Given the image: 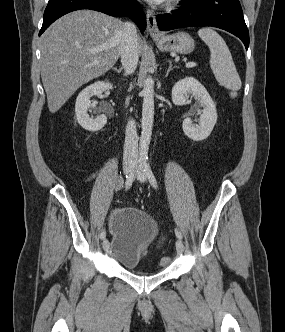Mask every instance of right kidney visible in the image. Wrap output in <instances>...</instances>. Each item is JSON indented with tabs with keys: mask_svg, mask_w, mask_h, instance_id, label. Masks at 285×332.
<instances>
[{
	"mask_svg": "<svg viewBox=\"0 0 285 332\" xmlns=\"http://www.w3.org/2000/svg\"><path fill=\"white\" fill-rule=\"evenodd\" d=\"M109 89H113L111 83L98 81L89 85L79 93L75 104V114L79 125L85 130L95 132L102 129L107 123V117L104 114L92 118L88 114V110L92 107L90 98L92 96H98Z\"/></svg>",
	"mask_w": 285,
	"mask_h": 332,
	"instance_id": "obj_1",
	"label": "right kidney"
}]
</instances>
